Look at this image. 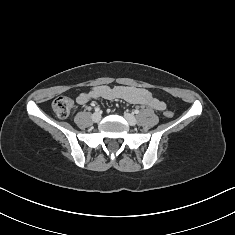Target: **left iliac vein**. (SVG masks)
Listing matches in <instances>:
<instances>
[{
    "mask_svg": "<svg viewBox=\"0 0 235 235\" xmlns=\"http://www.w3.org/2000/svg\"><path fill=\"white\" fill-rule=\"evenodd\" d=\"M124 118L131 126H134L137 123V119L135 118V116L130 113H124Z\"/></svg>",
    "mask_w": 235,
    "mask_h": 235,
    "instance_id": "left-iliac-vein-1",
    "label": "left iliac vein"
}]
</instances>
